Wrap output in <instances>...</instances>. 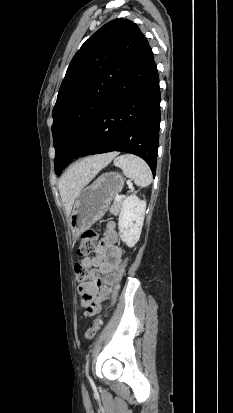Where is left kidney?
Masks as SVG:
<instances>
[{"mask_svg": "<svg viewBox=\"0 0 233 413\" xmlns=\"http://www.w3.org/2000/svg\"><path fill=\"white\" fill-rule=\"evenodd\" d=\"M146 211V201L140 200L136 194H132L125 199L119 215L120 238L130 248L139 241L144 216Z\"/></svg>", "mask_w": 233, "mask_h": 413, "instance_id": "5707ae66", "label": "left kidney"}]
</instances>
